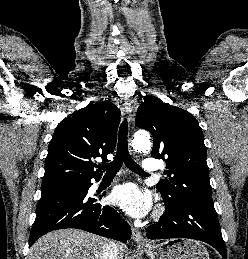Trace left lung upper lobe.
<instances>
[{
    "instance_id": "obj_1",
    "label": "left lung upper lobe",
    "mask_w": 248,
    "mask_h": 259,
    "mask_svg": "<svg viewBox=\"0 0 248 259\" xmlns=\"http://www.w3.org/2000/svg\"><path fill=\"white\" fill-rule=\"evenodd\" d=\"M136 126L153 136L151 156L166 162L157 189L167 205L213 204L202 130L188 112L158 98L139 107Z\"/></svg>"
}]
</instances>
